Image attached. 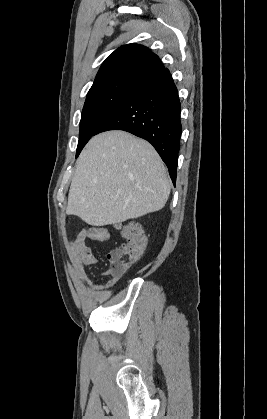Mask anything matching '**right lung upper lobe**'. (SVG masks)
Instances as JSON below:
<instances>
[{
  "label": "right lung upper lobe",
  "instance_id": "right-lung-upper-lobe-1",
  "mask_svg": "<svg viewBox=\"0 0 267 419\" xmlns=\"http://www.w3.org/2000/svg\"><path fill=\"white\" fill-rule=\"evenodd\" d=\"M163 68L159 57L147 47L123 45L103 62L87 96L111 90L136 89Z\"/></svg>",
  "mask_w": 267,
  "mask_h": 419
}]
</instances>
